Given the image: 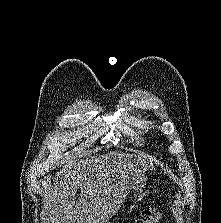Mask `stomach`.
<instances>
[{"label": "stomach", "mask_w": 221, "mask_h": 223, "mask_svg": "<svg viewBox=\"0 0 221 223\" xmlns=\"http://www.w3.org/2000/svg\"><path fill=\"white\" fill-rule=\"evenodd\" d=\"M147 182V176L145 174H140L135 182L133 183L131 189L138 192L142 191L143 188H145Z\"/></svg>", "instance_id": "stomach-1"}]
</instances>
